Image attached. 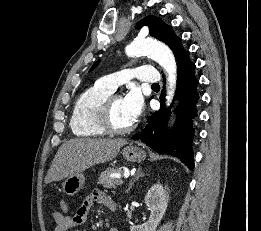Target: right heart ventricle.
<instances>
[{
  "label": "right heart ventricle",
  "instance_id": "obj_1",
  "mask_svg": "<svg viewBox=\"0 0 261 231\" xmlns=\"http://www.w3.org/2000/svg\"><path fill=\"white\" fill-rule=\"evenodd\" d=\"M113 93L99 82L83 92L76 100L71 116L70 127L78 137H100L107 134L98 124V112L108 96Z\"/></svg>",
  "mask_w": 261,
  "mask_h": 231
}]
</instances>
